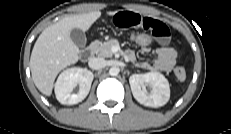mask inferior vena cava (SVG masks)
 <instances>
[{
  "mask_svg": "<svg viewBox=\"0 0 231 134\" xmlns=\"http://www.w3.org/2000/svg\"><path fill=\"white\" fill-rule=\"evenodd\" d=\"M88 65L93 70H99L106 66V61L102 58L94 57L89 60Z\"/></svg>",
  "mask_w": 231,
  "mask_h": 134,
  "instance_id": "obj_1",
  "label": "inferior vena cava"
}]
</instances>
